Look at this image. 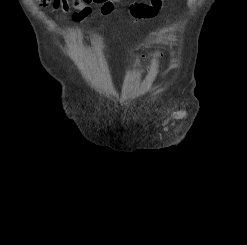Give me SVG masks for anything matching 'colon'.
I'll list each match as a JSON object with an SVG mask.
<instances>
[{
	"mask_svg": "<svg viewBox=\"0 0 247 245\" xmlns=\"http://www.w3.org/2000/svg\"><path fill=\"white\" fill-rule=\"evenodd\" d=\"M41 5H46L50 0H38ZM118 0H93L95 3L101 4L100 11L102 14L111 12Z\"/></svg>",
	"mask_w": 247,
	"mask_h": 245,
	"instance_id": "1",
	"label": "colon"
}]
</instances>
